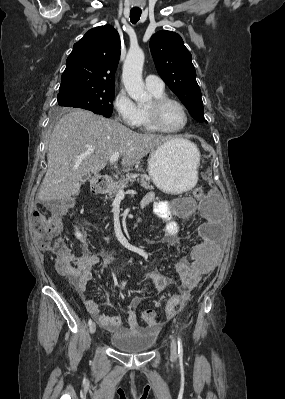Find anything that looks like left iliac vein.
<instances>
[{
	"instance_id": "left-iliac-vein-1",
	"label": "left iliac vein",
	"mask_w": 285,
	"mask_h": 399,
	"mask_svg": "<svg viewBox=\"0 0 285 399\" xmlns=\"http://www.w3.org/2000/svg\"><path fill=\"white\" fill-rule=\"evenodd\" d=\"M171 357L175 359L177 357V347L176 342L173 337H171Z\"/></svg>"
}]
</instances>
